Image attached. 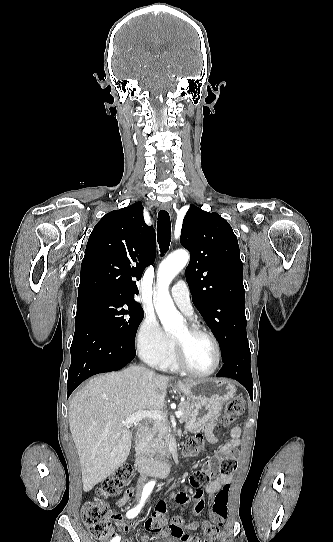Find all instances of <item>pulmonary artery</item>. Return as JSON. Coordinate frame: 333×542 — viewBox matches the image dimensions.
Wrapping results in <instances>:
<instances>
[{
  "instance_id": "pulmonary-artery-1",
  "label": "pulmonary artery",
  "mask_w": 333,
  "mask_h": 542,
  "mask_svg": "<svg viewBox=\"0 0 333 542\" xmlns=\"http://www.w3.org/2000/svg\"><path fill=\"white\" fill-rule=\"evenodd\" d=\"M191 287L187 284L185 279H180L177 285H172L170 291L167 293L173 298L176 306L187 317H192L194 314V308L192 305L190 293Z\"/></svg>"
}]
</instances>
